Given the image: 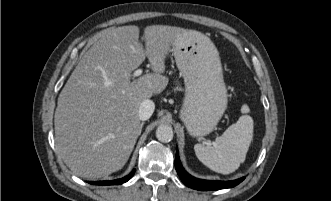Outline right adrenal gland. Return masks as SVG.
Listing matches in <instances>:
<instances>
[{
	"label": "right adrenal gland",
	"mask_w": 331,
	"mask_h": 201,
	"mask_svg": "<svg viewBox=\"0 0 331 201\" xmlns=\"http://www.w3.org/2000/svg\"><path fill=\"white\" fill-rule=\"evenodd\" d=\"M144 123H141V127L143 126Z\"/></svg>",
	"instance_id": "1"
}]
</instances>
